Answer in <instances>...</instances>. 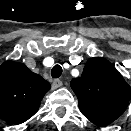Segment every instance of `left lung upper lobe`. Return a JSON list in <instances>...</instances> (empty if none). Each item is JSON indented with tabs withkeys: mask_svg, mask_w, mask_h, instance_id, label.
I'll return each mask as SVG.
<instances>
[{
	"mask_svg": "<svg viewBox=\"0 0 131 131\" xmlns=\"http://www.w3.org/2000/svg\"><path fill=\"white\" fill-rule=\"evenodd\" d=\"M81 113L92 123L105 126L126 110L131 88L116 68L102 57L90 58L80 78L71 81Z\"/></svg>",
	"mask_w": 131,
	"mask_h": 131,
	"instance_id": "obj_1",
	"label": "left lung upper lobe"
}]
</instances>
